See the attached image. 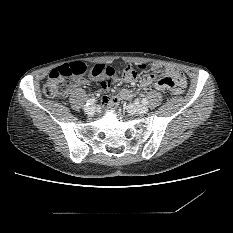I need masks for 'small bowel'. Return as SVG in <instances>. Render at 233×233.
I'll use <instances>...</instances> for the list:
<instances>
[{
    "instance_id": "small-bowel-1",
    "label": "small bowel",
    "mask_w": 233,
    "mask_h": 233,
    "mask_svg": "<svg viewBox=\"0 0 233 233\" xmlns=\"http://www.w3.org/2000/svg\"><path fill=\"white\" fill-rule=\"evenodd\" d=\"M142 65H139L141 67ZM151 71L145 73L140 81V86L142 88L148 87L152 84L156 77V72L162 68L165 69L167 77L164 79H160L155 83V88L158 91H163L166 86L169 87L170 90L174 91L178 88H184L186 86V78L182 71L173 65H164L162 63H152L151 65ZM115 73L108 77V78H101L100 79V86L102 91L107 94L110 91V85L112 82H116L119 80V77L116 73V69L114 68ZM79 83H87V80L80 79L78 80ZM134 97V93L129 89H122L120 90L115 96L112 98H105L104 102L108 105L116 104L119 101L122 100H128L132 99Z\"/></svg>"
}]
</instances>
